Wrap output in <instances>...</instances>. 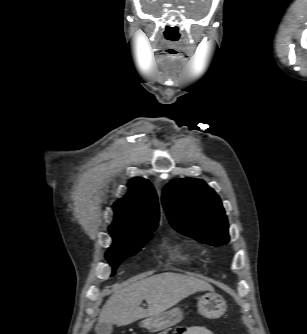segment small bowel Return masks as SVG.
Wrapping results in <instances>:
<instances>
[{
    "mask_svg": "<svg viewBox=\"0 0 307 334\" xmlns=\"http://www.w3.org/2000/svg\"><path fill=\"white\" fill-rule=\"evenodd\" d=\"M177 334H214V333L205 326L196 325L180 329Z\"/></svg>",
    "mask_w": 307,
    "mask_h": 334,
    "instance_id": "small-bowel-1",
    "label": "small bowel"
}]
</instances>
